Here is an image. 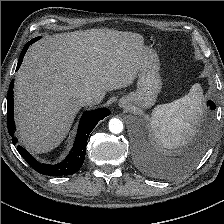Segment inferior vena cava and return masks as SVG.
<instances>
[{"mask_svg": "<svg viewBox=\"0 0 224 224\" xmlns=\"http://www.w3.org/2000/svg\"><path fill=\"white\" fill-rule=\"evenodd\" d=\"M81 106H90L99 103V100L92 94H83L79 98Z\"/></svg>", "mask_w": 224, "mask_h": 224, "instance_id": "obj_1", "label": "inferior vena cava"}]
</instances>
